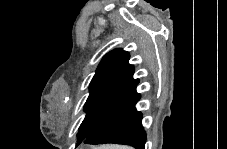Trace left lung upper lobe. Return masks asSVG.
<instances>
[{"mask_svg":"<svg viewBox=\"0 0 227 149\" xmlns=\"http://www.w3.org/2000/svg\"><path fill=\"white\" fill-rule=\"evenodd\" d=\"M130 55L115 49L101 60L90 83V95L85 103V119L77 133V145L82 143L99 121L114 107L133 82L134 67Z\"/></svg>","mask_w":227,"mask_h":149,"instance_id":"1","label":"left lung upper lobe"}]
</instances>
